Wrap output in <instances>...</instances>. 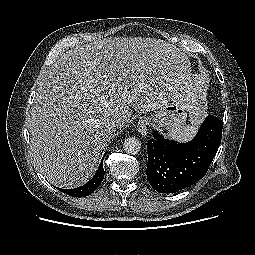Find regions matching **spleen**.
Instances as JSON below:
<instances>
[{"instance_id": "1", "label": "spleen", "mask_w": 255, "mask_h": 255, "mask_svg": "<svg viewBox=\"0 0 255 255\" xmlns=\"http://www.w3.org/2000/svg\"><path fill=\"white\" fill-rule=\"evenodd\" d=\"M202 114H203V111L200 110L198 116H196L195 119H191V123H192L191 126L187 125L179 129L170 130L168 132V136L173 139H178L182 141L190 140L193 137V134L195 133V130H196L195 126L201 120Z\"/></svg>"}]
</instances>
